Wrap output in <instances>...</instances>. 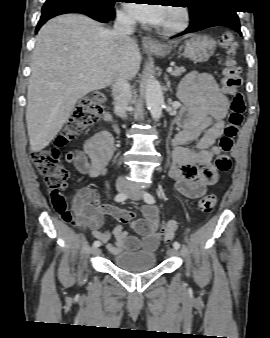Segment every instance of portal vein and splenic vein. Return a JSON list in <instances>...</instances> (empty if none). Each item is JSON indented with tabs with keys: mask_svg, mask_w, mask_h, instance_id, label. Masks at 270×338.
<instances>
[{
	"mask_svg": "<svg viewBox=\"0 0 270 338\" xmlns=\"http://www.w3.org/2000/svg\"><path fill=\"white\" fill-rule=\"evenodd\" d=\"M173 71V68L172 67H168L167 68V72L168 73H171ZM80 77H83L84 75L82 73L79 74Z\"/></svg>",
	"mask_w": 270,
	"mask_h": 338,
	"instance_id": "obj_1",
	"label": "portal vein and splenic vein"
}]
</instances>
